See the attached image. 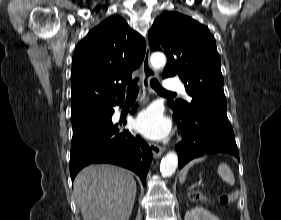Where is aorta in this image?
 <instances>
[{
	"instance_id": "obj_1",
	"label": "aorta",
	"mask_w": 281,
	"mask_h": 220,
	"mask_svg": "<svg viewBox=\"0 0 281 220\" xmlns=\"http://www.w3.org/2000/svg\"><path fill=\"white\" fill-rule=\"evenodd\" d=\"M150 63L154 70L163 69L166 65V57L161 52H155L150 57ZM178 166V156L175 152H168L162 159L160 171L163 176L173 175Z\"/></svg>"
}]
</instances>
